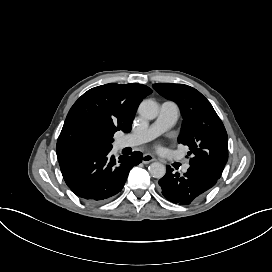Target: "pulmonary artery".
Wrapping results in <instances>:
<instances>
[{
    "mask_svg": "<svg viewBox=\"0 0 272 272\" xmlns=\"http://www.w3.org/2000/svg\"><path fill=\"white\" fill-rule=\"evenodd\" d=\"M178 116L179 111L177 105L169 101L164 102L160 105L158 117L153 124L140 129L135 133L117 139L114 142V147L116 149H121L129 145L150 141L170 129L176 123ZM178 167L184 173H187L190 170L189 165L184 164L183 162H180Z\"/></svg>",
    "mask_w": 272,
    "mask_h": 272,
    "instance_id": "1",
    "label": "pulmonary artery"
}]
</instances>
